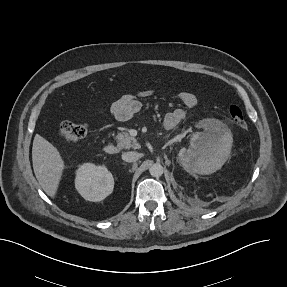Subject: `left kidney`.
<instances>
[{
    "label": "left kidney",
    "mask_w": 287,
    "mask_h": 287,
    "mask_svg": "<svg viewBox=\"0 0 287 287\" xmlns=\"http://www.w3.org/2000/svg\"><path fill=\"white\" fill-rule=\"evenodd\" d=\"M204 129V132L193 136L190 148L180 149L178 155L186 171L208 175L219 170L227 161L232 135L220 124H206Z\"/></svg>",
    "instance_id": "left-kidney-1"
}]
</instances>
